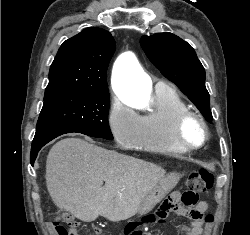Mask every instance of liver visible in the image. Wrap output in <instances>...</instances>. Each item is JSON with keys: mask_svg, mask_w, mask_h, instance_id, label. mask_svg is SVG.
Returning <instances> with one entry per match:
<instances>
[{"mask_svg": "<svg viewBox=\"0 0 250 235\" xmlns=\"http://www.w3.org/2000/svg\"><path fill=\"white\" fill-rule=\"evenodd\" d=\"M164 175L165 170L156 164L66 138L50 149L45 177L50 197L60 210L84 222L98 216L118 222L138 212Z\"/></svg>", "mask_w": 250, "mask_h": 235, "instance_id": "liver-1", "label": "liver"}]
</instances>
